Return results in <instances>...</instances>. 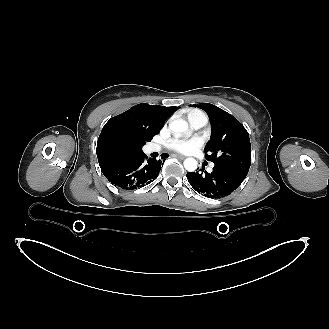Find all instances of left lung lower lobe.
I'll use <instances>...</instances> for the list:
<instances>
[{
	"instance_id": "1",
	"label": "left lung lower lobe",
	"mask_w": 329,
	"mask_h": 329,
	"mask_svg": "<svg viewBox=\"0 0 329 329\" xmlns=\"http://www.w3.org/2000/svg\"><path fill=\"white\" fill-rule=\"evenodd\" d=\"M204 169L197 172H188L187 179L192 188L199 194L208 198H222L236 190L244 176L230 169L214 166L213 172L208 173Z\"/></svg>"
}]
</instances>
